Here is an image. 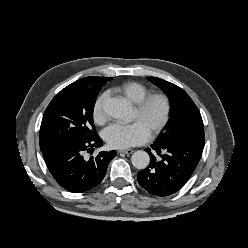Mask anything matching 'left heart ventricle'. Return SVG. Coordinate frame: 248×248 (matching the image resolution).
<instances>
[{"instance_id":"left-heart-ventricle-1","label":"left heart ventricle","mask_w":248,"mask_h":248,"mask_svg":"<svg viewBox=\"0 0 248 248\" xmlns=\"http://www.w3.org/2000/svg\"><path fill=\"white\" fill-rule=\"evenodd\" d=\"M162 111V103L159 100H155L150 104L147 111L142 115H140L135 109L134 119L140 120L149 131L160 118Z\"/></svg>"}]
</instances>
